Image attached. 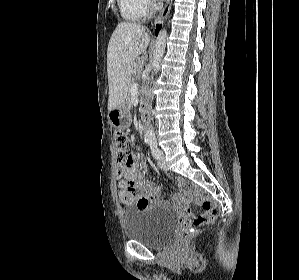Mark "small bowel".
Returning <instances> with one entry per match:
<instances>
[{"label":"small bowel","mask_w":299,"mask_h":280,"mask_svg":"<svg viewBox=\"0 0 299 280\" xmlns=\"http://www.w3.org/2000/svg\"><path fill=\"white\" fill-rule=\"evenodd\" d=\"M146 173V162L143 158L137 159L133 156L132 165L122 174H119V199L126 206L136 205L138 208H147L153 205L169 206L177 211H182L187 204L186 183L180 178L178 184L181 192L171 202L160 200V189L154 183L144 179Z\"/></svg>","instance_id":"small-bowel-1"}]
</instances>
